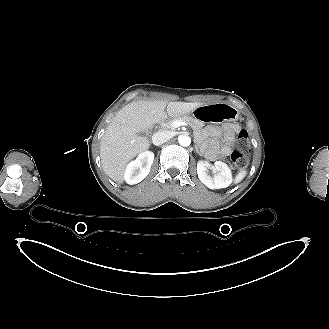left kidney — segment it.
<instances>
[{"label": "left kidney", "mask_w": 329, "mask_h": 329, "mask_svg": "<svg viewBox=\"0 0 329 329\" xmlns=\"http://www.w3.org/2000/svg\"><path fill=\"white\" fill-rule=\"evenodd\" d=\"M213 171L214 176L208 174L207 165L203 161L197 164L198 178L210 189L226 188L232 183V173L229 167L221 162L214 163Z\"/></svg>", "instance_id": "left-kidney-1"}]
</instances>
